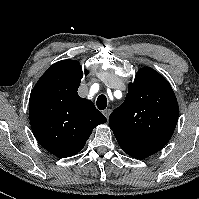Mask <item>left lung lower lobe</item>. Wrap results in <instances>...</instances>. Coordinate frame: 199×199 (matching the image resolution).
Listing matches in <instances>:
<instances>
[{
    "instance_id": "obj_1",
    "label": "left lung lower lobe",
    "mask_w": 199,
    "mask_h": 199,
    "mask_svg": "<svg viewBox=\"0 0 199 199\" xmlns=\"http://www.w3.org/2000/svg\"><path fill=\"white\" fill-rule=\"evenodd\" d=\"M122 150L136 159H144L162 149L166 144L159 141L135 135L131 132L112 129Z\"/></svg>"
}]
</instances>
